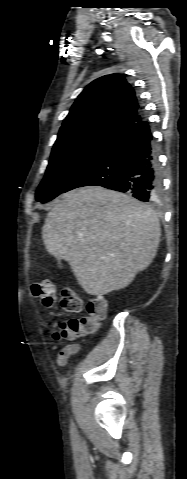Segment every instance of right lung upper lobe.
<instances>
[{
    "instance_id": "cb5924a9",
    "label": "right lung upper lobe",
    "mask_w": 187,
    "mask_h": 479,
    "mask_svg": "<svg viewBox=\"0 0 187 479\" xmlns=\"http://www.w3.org/2000/svg\"><path fill=\"white\" fill-rule=\"evenodd\" d=\"M142 119L133 88L121 75L111 74L90 83L78 96L60 132L91 125L126 131Z\"/></svg>"
}]
</instances>
